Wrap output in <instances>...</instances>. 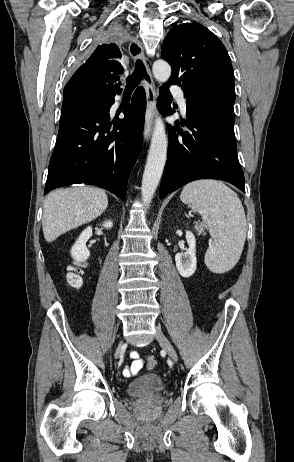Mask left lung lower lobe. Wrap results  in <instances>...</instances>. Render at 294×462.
Returning a JSON list of instances; mask_svg holds the SVG:
<instances>
[{"label":"left lung lower lobe","instance_id":"1","mask_svg":"<svg viewBox=\"0 0 294 462\" xmlns=\"http://www.w3.org/2000/svg\"><path fill=\"white\" fill-rule=\"evenodd\" d=\"M169 85L171 83L161 88L158 98V107L164 116L174 113ZM185 97L187 120L181 125L189 127L191 133L168 125L169 147L160 199L188 182L205 178L227 181L245 193L234 135L235 98L215 91Z\"/></svg>","mask_w":294,"mask_h":462}]
</instances>
